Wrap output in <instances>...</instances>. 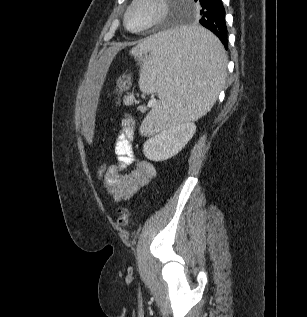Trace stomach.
<instances>
[{
	"label": "stomach",
	"instance_id": "stomach-1",
	"mask_svg": "<svg viewBox=\"0 0 307 317\" xmlns=\"http://www.w3.org/2000/svg\"><path fill=\"white\" fill-rule=\"evenodd\" d=\"M128 85H129V80H127V79H126V80H125V79H120V80L118 81L117 87H118V89H119L120 91H123V90L127 89Z\"/></svg>",
	"mask_w": 307,
	"mask_h": 317
}]
</instances>
